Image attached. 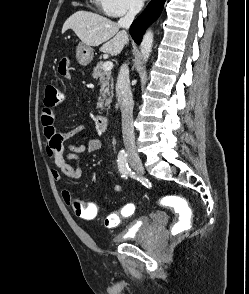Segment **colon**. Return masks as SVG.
<instances>
[{"label":"colon","mask_w":249,"mask_h":294,"mask_svg":"<svg viewBox=\"0 0 249 294\" xmlns=\"http://www.w3.org/2000/svg\"><path fill=\"white\" fill-rule=\"evenodd\" d=\"M68 66H69V60L68 59H62L58 71L60 75L65 76L68 73ZM62 100V93L60 89L54 85H47L45 88V98L44 103L47 106H56L58 105ZM164 202L171 203L172 206L177 207L181 211H190L189 203L186 199L180 198V197H174V196H168L163 199ZM73 209L77 216H87L89 218H93L95 216L94 209H89L87 207V204L80 201V200H74L73 201ZM135 207L131 204L127 205L124 210V215H131L134 212ZM98 211V209H97ZM115 222V220H113ZM191 220L190 217H182L180 218L172 228V231L174 234L181 233L187 229L190 228Z\"/></svg>","instance_id":"1"}]
</instances>
